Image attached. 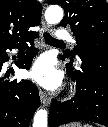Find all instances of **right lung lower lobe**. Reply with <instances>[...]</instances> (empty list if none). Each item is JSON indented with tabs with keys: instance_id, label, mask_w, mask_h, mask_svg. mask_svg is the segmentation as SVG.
<instances>
[{
	"instance_id": "right-lung-lower-lobe-1",
	"label": "right lung lower lobe",
	"mask_w": 108,
	"mask_h": 127,
	"mask_svg": "<svg viewBox=\"0 0 108 127\" xmlns=\"http://www.w3.org/2000/svg\"><path fill=\"white\" fill-rule=\"evenodd\" d=\"M38 37L37 32H31L15 43L0 45V126L1 127H28L33 113L40 105L37 87L29 80H9L2 76V64L9 59L6 50L20 49L26 41L31 43L26 54H23L16 66L29 69L33 57L38 50L33 47V40Z\"/></svg>"
}]
</instances>
